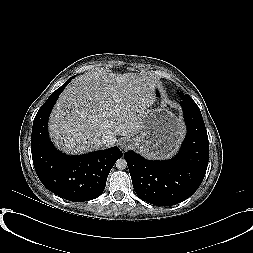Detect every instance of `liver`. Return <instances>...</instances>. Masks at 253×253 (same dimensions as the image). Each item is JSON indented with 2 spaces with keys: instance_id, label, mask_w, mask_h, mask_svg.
Segmentation results:
<instances>
[{
  "instance_id": "obj_1",
  "label": "liver",
  "mask_w": 253,
  "mask_h": 253,
  "mask_svg": "<svg viewBox=\"0 0 253 253\" xmlns=\"http://www.w3.org/2000/svg\"><path fill=\"white\" fill-rule=\"evenodd\" d=\"M156 99L155 83L137 73L90 72L76 77L61 94L52 112L50 137L62 151L82 154L117 143L142 128L146 109Z\"/></svg>"
}]
</instances>
